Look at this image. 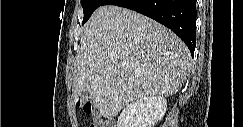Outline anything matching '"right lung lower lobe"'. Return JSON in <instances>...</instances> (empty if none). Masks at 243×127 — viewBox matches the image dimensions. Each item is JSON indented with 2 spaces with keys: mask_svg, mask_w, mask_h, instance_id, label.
<instances>
[{
  "mask_svg": "<svg viewBox=\"0 0 243 127\" xmlns=\"http://www.w3.org/2000/svg\"><path fill=\"white\" fill-rule=\"evenodd\" d=\"M137 11L170 28L188 46L191 55L196 46V0H105Z\"/></svg>",
  "mask_w": 243,
  "mask_h": 127,
  "instance_id": "obj_1",
  "label": "right lung lower lobe"
}]
</instances>
